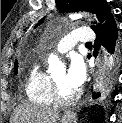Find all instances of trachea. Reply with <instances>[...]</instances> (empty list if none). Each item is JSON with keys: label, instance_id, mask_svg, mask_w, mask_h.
Wrapping results in <instances>:
<instances>
[{"label": "trachea", "instance_id": "obj_1", "mask_svg": "<svg viewBox=\"0 0 122 123\" xmlns=\"http://www.w3.org/2000/svg\"><path fill=\"white\" fill-rule=\"evenodd\" d=\"M92 44L91 43H86V46H91Z\"/></svg>", "mask_w": 122, "mask_h": 123}]
</instances>
